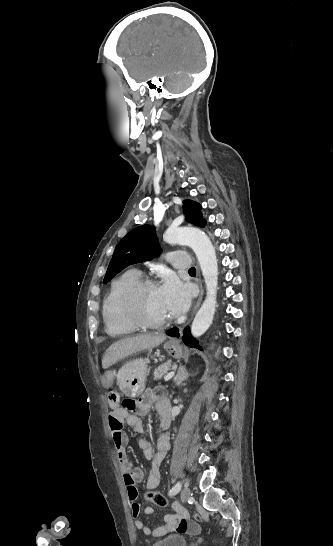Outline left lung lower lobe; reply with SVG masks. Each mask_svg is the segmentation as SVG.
Listing matches in <instances>:
<instances>
[{
    "mask_svg": "<svg viewBox=\"0 0 333 546\" xmlns=\"http://www.w3.org/2000/svg\"><path fill=\"white\" fill-rule=\"evenodd\" d=\"M166 334L172 337H179L178 328L170 329ZM182 340L187 346L201 349L200 346H198V342L192 337L189 327L184 330Z\"/></svg>",
    "mask_w": 333,
    "mask_h": 546,
    "instance_id": "left-lung-lower-lobe-1",
    "label": "left lung lower lobe"
}]
</instances>
